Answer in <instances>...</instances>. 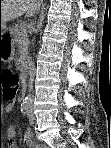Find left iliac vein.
I'll return each instance as SVG.
<instances>
[{
  "label": "left iliac vein",
  "instance_id": "obj_1",
  "mask_svg": "<svg viewBox=\"0 0 111 148\" xmlns=\"http://www.w3.org/2000/svg\"><path fill=\"white\" fill-rule=\"evenodd\" d=\"M28 118H29V123H30L31 125H33V124H34V121H35V116H34L33 108H32L31 105H30V107H29Z\"/></svg>",
  "mask_w": 111,
  "mask_h": 148
}]
</instances>
